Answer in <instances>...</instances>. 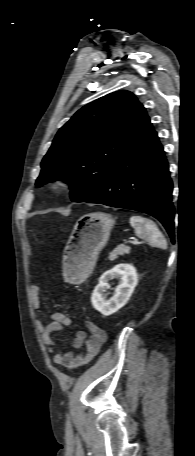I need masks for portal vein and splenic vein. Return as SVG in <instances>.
Masks as SVG:
<instances>
[{
    "mask_svg": "<svg viewBox=\"0 0 195 456\" xmlns=\"http://www.w3.org/2000/svg\"><path fill=\"white\" fill-rule=\"evenodd\" d=\"M126 243H128V244H135L136 241H135V240H128Z\"/></svg>",
    "mask_w": 195,
    "mask_h": 456,
    "instance_id": "obj_1",
    "label": "portal vein and splenic vein"
}]
</instances>
